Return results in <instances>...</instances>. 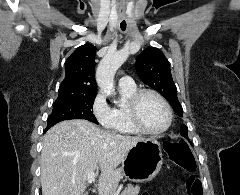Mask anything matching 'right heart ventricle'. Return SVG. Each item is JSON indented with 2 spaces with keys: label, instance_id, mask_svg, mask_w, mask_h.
Masks as SVG:
<instances>
[{
  "label": "right heart ventricle",
  "instance_id": "1",
  "mask_svg": "<svg viewBox=\"0 0 240 195\" xmlns=\"http://www.w3.org/2000/svg\"><path fill=\"white\" fill-rule=\"evenodd\" d=\"M136 92L137 88L134 84H120L121 100L114 107V119L105 125L108 131H116V136L139 134V131L135 128L131 121L128 110L129 102Z\"/></svg>",
  "mask_w": 240,
  "mask_h": 195
}]
</instances>
